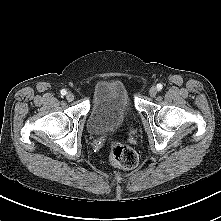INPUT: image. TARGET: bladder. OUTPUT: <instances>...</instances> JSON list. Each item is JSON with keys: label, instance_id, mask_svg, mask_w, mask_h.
<instances>
[{"label": "bladder", "instance_id": "1", "mask_svg": "<svg viewBox=\"0 0 221 221\" xmlns=\"http://www.w3.org/2000/svg\"><path fill=\"white\" fill-rule=\"evenodd\" d=\"M133 123L134 115L123 85L115 80L101 81L88 115L89 133L104 137L127 130Z\"/></svg>", "mask_w": 221, "mask_h": 221}]
</instances>
